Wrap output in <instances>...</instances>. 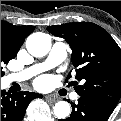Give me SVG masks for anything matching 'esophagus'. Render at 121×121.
Instances as JSON below:
<instances>
[{"label":"esophagus","instance_id":"1","mask_svg":"<svg viewBox=\"0 0 121 121\" xmlns=\"http://www.w3.org/2000/svg\"><path fill=\"white\" fill-rule=\"evenodd\" d=\"M45 98H46L47 101H49L51 103L57 102V98L53 95H46Z\"/></svg>","mask_w":121,"mask_h":121}]
</instances>
